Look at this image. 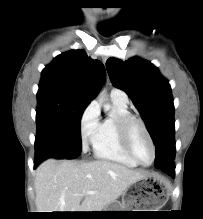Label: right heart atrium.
Listing matches in <instances>:
<instances>
[{"mask_svg":"<svg viewBox=\"0 0 203 219\" xmlns=\"http://www.w3.org/2000/svg\"><path fill=\"white\" fill-rule=\"evenodd\" d=\"M100 125V108L96 102H91L80 119V136L83 150L93 143Z\"/></svg>","mask_w":203,"mask_h":219,"instance_id":"obj_1","label":"right heart atrium"}]
</instances>
